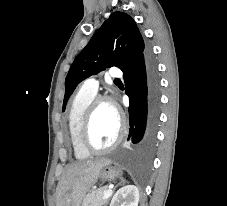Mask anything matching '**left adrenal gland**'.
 I'll list each match as a JSON object with an SVG mask.
<instances>
[{
  "mask_svg": "<svg viewBox=\"0 0 227 206\" xmlns=\"http://www.w3.org/2000/svg\"><path fill=\"white\" fill-rule=\"evenodd\" d=\"M123 181V180H122ZM117 185L114 187L113 191L116 189Z\"/></svg>",
  "mask_w": 227,
  "mask_h": 206,
  "instance_id": "1",
  "label": "left adrenal gland"
}]
</instances>
